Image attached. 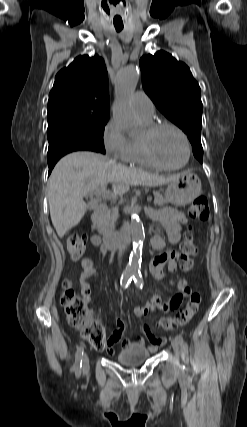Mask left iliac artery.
I'll list each match as a JSON object with an SVG mask.
<instances>
[{"label":"left iliac artery","instance_id":"44dca946","mask_svg":"<svg viewBox=\"0 0 247 427\" xmlns=\"http://www.w3.org/2000/svg\"><path fill=\"white\" fill-rule=\"evenodd\" d=\"M133 280H134L135 285L138 288L142 289L144 281H143V278H142V275H141L140 272L139 273H135L133 275ZM176 337L178 338V340L180 341V343H183V337H182V335L178 334Z\"/></svg>","mask_w":247,"mask_h":427}]
</instances>
